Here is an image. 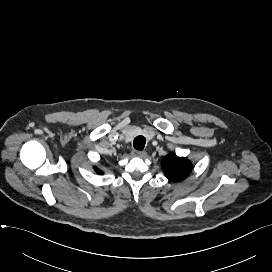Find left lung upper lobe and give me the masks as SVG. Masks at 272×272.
I'll use <instances>...</instances> for the list:
<instances>
[{"mask_svg":"<svg viewBox=\"0 0 272 272\" xmlns=\"http://www.w3.org/2000/svg\"><path fill=\"white\" fill-rule=\"evenodd\" d=\"M165 176L171 181L184 180L192 170L191 162L184 157H177L171 153L161 161Z\"/></svg>","mask_w":272,"mask_h":272,"instance_id":"left-lung-upper-lobe-1","label":"left lung upper lobe"}]
</instances>
